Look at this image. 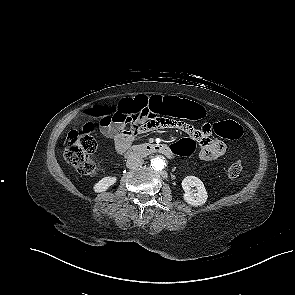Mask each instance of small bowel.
Masks as SVG:
<instances>
[{
	"label": "small bowel",
	"mask_w": 295,
	"mask_h": 295,
	"mask_svg": "<svg viewBox=\"0 0 295 295\" xmlns=\"http://www.w3.org/2000/svg\"><path fill=\"white\" fill-rule=\"evenodd\" d=\"M160 115L161 113H142L135 116L128 115L118 119L100 121V132L105 137L113 140L115 151L118 154L124 153L138 135L160 128H172L184 131L189 135L191 141L199 143L198 156L201 160L214 161L224 155L226 145L222 141L212 138V126L210 124L206 123L200 129H196L183 120H175L169 117L159 118ZM127 124H131L133 127L127 129Z\"/></svg>",
	"instance_id": "obj_1"
}]
</instances>
